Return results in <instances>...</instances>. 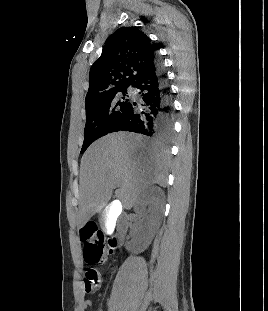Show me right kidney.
<instances>
[{"mask_svg": "<svg viewBox=\"0 0 268 311\" xmlns=\"http://www.w3.org/2000/svg\"><path fill=\"white\" fill-rule=\"evenodd\" d=\"M136 213L144 216V222L139 227L136 237L127 243L129 251H144L158 231L165 210V195L157 186H150L143 191L135 204Z\"/></svg>", "mask_w": 268, "mask_h": 311, "instance_id": "1", "label": "right kidney"}]
</instances>
